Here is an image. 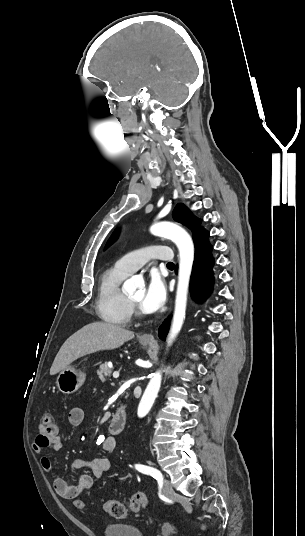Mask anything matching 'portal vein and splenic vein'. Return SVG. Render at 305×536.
<instances>
[{"mask_svg": "<svg viewBox=\"0 0 305 536\" xmlns=\"http://www.w3.org/2000/svg\"><path fill=\"white\" fill-rule=\"evenodd\" d=\"M113 378H119V372H114Z\"/></svg>", "mask_w": 305, "mask_h": 536, "instance_id": "18ae733b", "label": "portal vein and splenic vein"}]
</instances>
